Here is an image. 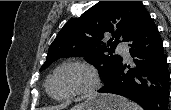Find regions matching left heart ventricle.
Here are the masks:
<instances>
[{
	"instance_id": "left-heart-ventricle-1",
	"label": "left heart ventricle",
	"mask_w": 171,
	"mask_h": 110,
	"mask_svg": "<svg viewBox=\"0 0 171 110\" xmlns=\"http://www.w3.org/2000/svg\"><path fill=\"white\" fill-rule=\"evenodd\" d=\"M89 81L87 73L80 68H67L60 71L50 83V91L56 97H63L84 86Z\"/></svg>"
}]
</instances>
